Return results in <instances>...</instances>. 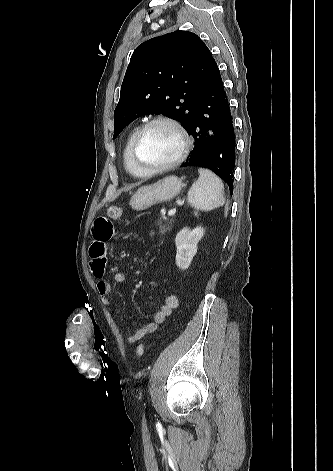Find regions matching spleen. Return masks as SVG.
Listing matches in <instances>:
<instances>
[{"mask_svg":"<svg viewBox=\"0 0 333 471\" xmlns=\"http://www.w3.org/2000/svg\"><path fill=\"white\" fill-rule=\"evenodd\" d=\"M199 178L188 192V203L196 210L210 211L225 203L221 179L208 169H198Z\"/></svg>","mask_w":333,"mask_h":471,"instance_id":"1","label":"spleen"}]
</instances>
